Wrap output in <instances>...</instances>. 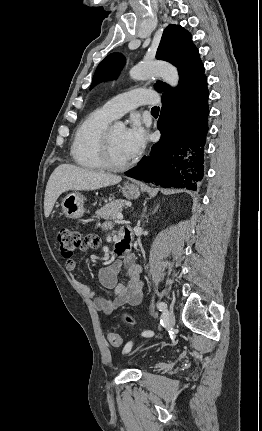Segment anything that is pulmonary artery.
Listing matches in <instances>:
<instances>
[{
	"instance_id": "1",
	"label": "pulmonary artery",
	"mask_w": 262,
	"mask_h": 431,
	"mask_svg": "<svg viewBox=\"0 0 262 431\" xmlns=\"http://www.w3.org/2000/svg\"><path fill=\"white\" fill-rule=\"evenodd\" d=\"M158 103L157 94L144 87L119 94L107 101L103 108L113 118H118L130 110L141 105H155Z\"/></svg>"
}]
</instances>
